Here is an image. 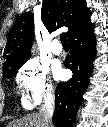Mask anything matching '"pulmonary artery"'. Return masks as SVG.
<instances>
[{
  "instance_id": "pulmonary-artery-1",
  "label": "pulmonary artery",
  "mask_w": 108,
  "mask_h": 127,
  "mask_svg": "<svg viewBox=\"0 0 108 127\" xmlns=\"http://www.w3.org/2000/svg\"><path fill=\"white\" fill-rule=\"evenodd\" d=\"M51 51L54 55H60L63 51L62 46L58 40H54L51 44Z\"/></svg>"
}]
</instances>
